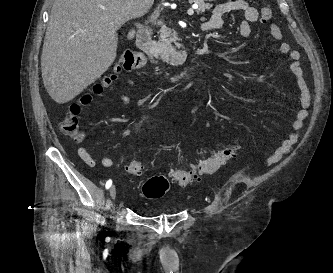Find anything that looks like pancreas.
<instances>
[{
  "instance_id": "cf45deb5",
  "label": "pancreas",
  "mask_w": 333,
  "mask_h": 273,
  "mask_svg": "<svg viewBox=\"0 0 333 273\" xmlns=\"http://www.w3.org/2000/svg\"><path fill=\"white\" fill-rule=\"evenodd\" d=\"M192 3L198 5L197 12H205L209 10L212 5L205 3L204 0H189ZM180 39L178 36L169 28H163L160 31L159 41L157 42V50L160 55V58L169 63L172 66H180L186 60V53L184 51H177V48H180L179 43ZM174 43L176 46L172 45Z\"/></svg>"
}]
</instances>
